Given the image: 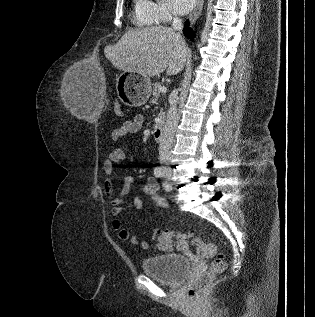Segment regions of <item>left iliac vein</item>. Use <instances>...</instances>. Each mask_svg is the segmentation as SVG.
<instances>
[{
	"instance_id": "left-iliac-vein-1",
	"label": "left iliac vein",
	"mask_w": 315,
	"mask_h": 317,
	"mask_svg": "<svg viewBox=\"0 0 315 317\" xmlns=\"http://www.w3.org/2000/svg\"><path fill=\"white\" fill-rule=\"evenodd\" d=\"M163 176H164V174H163ZM164 186H166L165 189H166L167 191H170V190H171V185L168 184L167 182L164 183Z\"/></svg>"
}]
</instances>
